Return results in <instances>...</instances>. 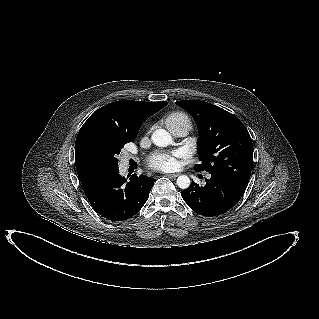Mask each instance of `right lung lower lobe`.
I'll list each match as a JSON object with an SVG mask.
<instances>
[{"label": "right lung lower lobe", "mask_w": 319, "mask_h": 319, "mask_svg": "<svg viewBox=\"0 0 319 319\" xmlns=\"http://www.w3.org/2000/svg\"><path fill=\"white\" fill-rule=\"evenodd\" d=\"M155 179L141 175L126 178L118 168L96 175L82 183L93 209L110 221H124L134 216L146 203Z\"/></svg>", "instance_id": "obj_1"}]
</instances>
